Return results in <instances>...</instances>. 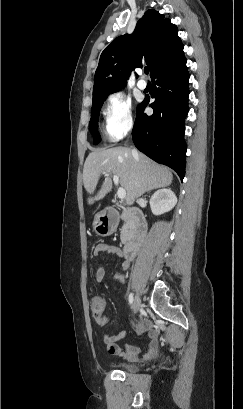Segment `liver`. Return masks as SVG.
Returning a JSON list of instances; mask_svg holds the SVG:
<instances>
[{"mask_svg": "<svg viewBox=\"0 0 243 409\" xmlns=\"http://www.w3.org/2000/svg\"><path fill=\"white\" fill-rule=\"evenodd\" d=\"M102 174H105V180L97 194L88 198L89 205L111 192L112 174L119 177L121 186L126 190L128 205L149 190L169 186L173 180L169 168L142 153L133 154L130 148L122 146L97 149L88 155L84 163L83 183L90 195L94 194Z\"/></svg>", "mask_w": 243, "mask_h": 409, "instance_id": "liver-1", "label": "liver"}]
</instances>
